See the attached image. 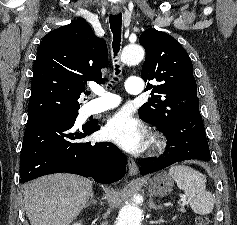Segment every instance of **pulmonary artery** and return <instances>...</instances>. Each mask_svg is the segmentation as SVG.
<instances>
[{
  "label": "pulmonary artery",
  "instance_id": "obj_1",
  "mask_svg": "<svg viewBox=\"0 0 237 225\" xmlns=\"http://www.w3.org/2000/svg\"><path fill=\"white\" fill-rule=\"evenodd\" d=\"M125 89L130 94H139L142 90V83L138 77H128ZM98 97L87 104L89 114H98L117 107L121 103L119 96L96 89Z\"/></svg>",
  "mask_w": 237,
  "mask_h": 225
}]
</instances>
